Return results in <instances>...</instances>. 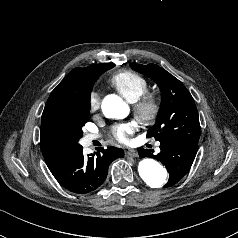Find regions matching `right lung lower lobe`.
<instances>
[{
  "label": "right lung lower lobe",
  "instance_id": "1",
  "mask_svg": "<svg viewBox=\"0 0 238 238\" xmlns=\"http://www.w3.org/2000/svg\"><path fill=\"white\" fill-rule=\"evenodd\" d=\"M120 148H101L96 156L84 157L80 145L60 162L49 166L55 179L67 190L86 194L97 190L107 177V168L116 158L123 157Z\"/></svg>",
  "mask_w": 238,
  "mask_h": 238
}]
</instances>
